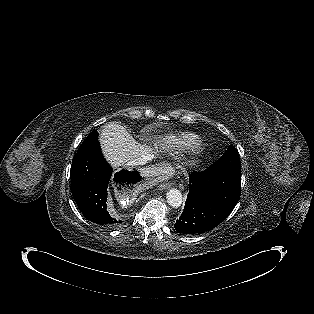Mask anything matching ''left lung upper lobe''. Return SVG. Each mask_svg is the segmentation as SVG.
Wrapping results in <instances>:
<instances>
[{
	"label": "left lung upper lobe",
	"mask_w": 314,
	"mask_h": 314,
	"mask_svg": "<svg viewBox=\"0 0 314 314\" xmlns=\"http://www.w3.org/2000/svg\"><path fill=\"white\" fill-rule=\"evenodd\" d=\"M211 171H239L241 172V162L237 150L234 146L228 147L226 152L212 166Z\"/></svg>",
	"instance_id": "left-lung-upper-lobe-1"
}]
</instances>
